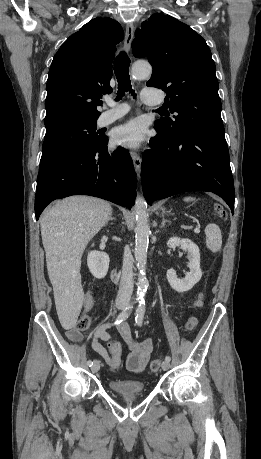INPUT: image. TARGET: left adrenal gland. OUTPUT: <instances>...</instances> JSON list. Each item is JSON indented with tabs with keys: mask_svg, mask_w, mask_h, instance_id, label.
Returning a JSON list of instances; mask_svg holds the SVG:
<instances>
[{
	"mask_svg": "<svg viewBox=\"0 0 261 459\" xmlns=\"http://www.w3.org/2000/svg\"><path fill=\"white\" fill-rule=\"evenodd\" d=\"M166 223L171 224V222L169 220H166L164 215H162V222H161L160 228H163Z\"/></svg>",
	"mask_w": 261,
	"mask_h": 459,
	"instance_id": "a2214340",
	"label": "left adrenal gland"
}]
</instances>
